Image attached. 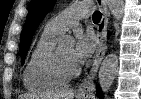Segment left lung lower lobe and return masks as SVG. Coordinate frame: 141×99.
Segmentation results:
<instances>
[{
	"mask_svg": "<svg viewBox=\"0 0 141 99\" xmlns=\"http://www.w3.org/2000/svg\"><path fill=\"white\" fill-rule=\"evenodd\" d=\"M97 94H98V97L102 98V93L100 89H97Z\"/></svg>",
	"mask_w": 141,
	"mask_h": 99,
	"instance_id": "left-lung-lower-lobe-1",
	"label": "left lung lower lobe"
}]
</instances>
